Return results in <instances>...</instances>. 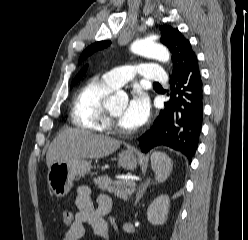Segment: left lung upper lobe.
<instances>
[{"instance_id":"left-lung-upper-lobe-1","label":"left lung upper lobe","mask_w":248,"mask_h":240,"mask_svg":"<svg viewBox=\"0 0 248 240\" xmlns=\"http://www.w3.org/2000/svg\"><path fill=\"white\" fill-rule=\"evenodd\" d=\"M159 29L162 32V37L160 39L161 42L168 47L172 54L173 77L174 75L181 73L186 64L196 55L191 48L189 40L186 39L177 28H173L168 25H162L159 27ZM109 45V41H100L92 44L83 51L80 56L79 63L96 50L106 48Z\"/></svg>"}]
</instances>
